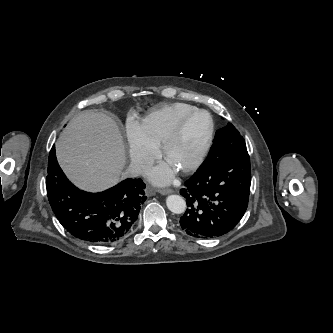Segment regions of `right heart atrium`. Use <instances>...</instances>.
Wrapping results in <instances>:
<instances>
[{
  "mask_svg": "<svg viewBox=\"0 0 333 333\" xmlns=\"http://www.w3.org/2000/svg\"><path fill=\"white\" fill-rule=\"evenodd\" d=\"M125 133L131 165L135 171L142 172L156 159L158 147L148 140L142 124L135 119L126 121Z\"/></svg>",
  "mask_w": 333,
  "mask_h": 333,
  "instance_id": "1",
  "label": "right heart atrium"
}]
</instances>
